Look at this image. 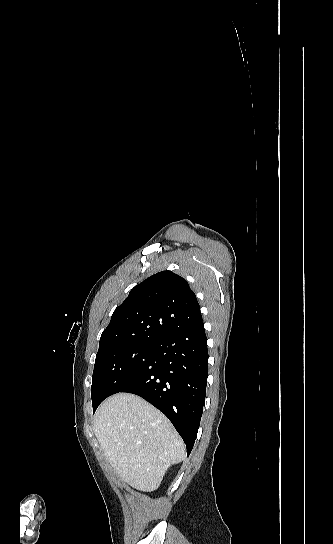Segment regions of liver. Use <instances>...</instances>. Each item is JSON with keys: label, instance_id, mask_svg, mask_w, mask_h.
Instances as JSON below:
<instances>
[{"label": "liver", "instance_id": "1", "mask_svg": "<svg viewBox=\"0 0 333 544\" xmlns=\"http://www.w3.org/2000/svg\"><path fill=\"white\" fill-rule=\"evenodd\" d=\"M94 432L114 471L140 491L156 490L167 469L185 457L170 421L133 394L108 398L94 415Z\"/></svg>", "mask_w": 333, "mask_h": 544}]
</instances>
